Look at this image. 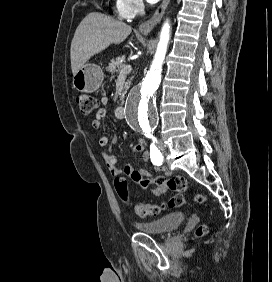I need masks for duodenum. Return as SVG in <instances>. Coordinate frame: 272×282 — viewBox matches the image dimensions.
I'll list each match as a JSON object with an SVG mask.
<instances>
[{
	"label": "duodenum",
	"instance_id": "duodenum-1",
	"mask_svg": "<svg viewBox=\"0 0 272 282\" xmlns=\"http://www.w3.org/2000/svg\"><path fill=\"white\" fill-rule=\"evenodd\" d=\"M123 110H124V105H122L118 108V114H121L123 112Z\"/></svg>",
	"mask_w": 272,
	"mask_h": 282
}]
</instances>
